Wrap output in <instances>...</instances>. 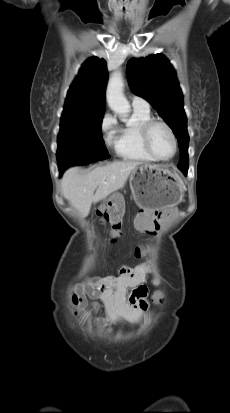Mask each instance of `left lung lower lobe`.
I'll return each instance as SVG.
<instances>
[{"label":"left lung lower lobe","mask_w":230,"mask_h":413,"mask_svg":"<svg viewBox=\"0 0 230 413\" xmlns=\"http://www.w3.org/2000/svg\"><path fill=\"white\" fill-rule=\"evenodd\" d=\"M183 173H184L185 176L187 175V171H183Z\"/></svg>","instance_id":"0a47b994"}]
</instances>
